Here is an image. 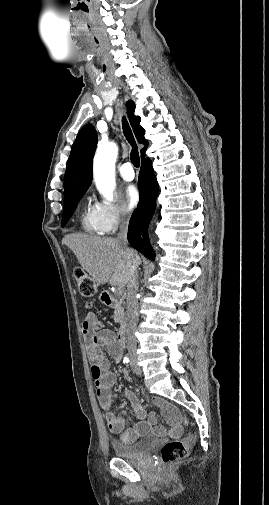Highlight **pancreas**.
I'll return each instance as SVG.
<instances>
[{"label": "pancreas", "instance_id": "1", "mask_svg": "<svg viewBox=\"0 0 269 505\" xmlns=\"http://www.w3.org/2000/svg\"><path fill=\"white\" fill-rule=\"evenodd\" d=\"M126 319V314L122 306H118L114 311V321L119 324H124Z\"/></svg>", "mask_w": 269, "mask_h": 505}]
</instances>
